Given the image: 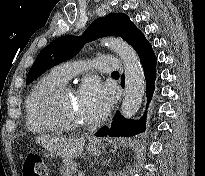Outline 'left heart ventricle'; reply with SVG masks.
<instances>
[{"label": "left heart ventricle", "instance_id": "1", "mask_svg": "<svg viewBox=\"0 0 205 176\" xmlns=\"http://www.w3.org/2000/svg\"><path fill=\"white\" fill-rule=\"evenodd\" d=\"M60 114L64 120L75 123H86L75 94L70 93L62 97L59 101Z\"/></svg>", "mask_w": 205, "mask_h": 176}]
</instances>
